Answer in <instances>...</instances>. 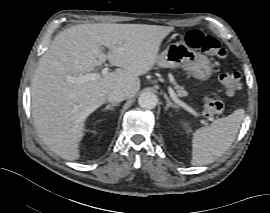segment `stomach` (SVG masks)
Listing matches in <instances>:
<instances>
[{
  "label": "stomach",
  "instance_id": "obj_1",
  "mask_svg": "<svg viewBox=\"0 0 270 213\" xmlns=\"http://www.w3.org/2000/svg\"><path fill=\"white\" fill-rule=\"evenodd\" d=\"M156 63L163 68L181 67L200 81L208 80L213 73V66L207 56L190 49L185 42L176 41L158 55Z\"/></svg>",
  "mask_w": 270,
  "mask_h": 213
}]
</instances>
